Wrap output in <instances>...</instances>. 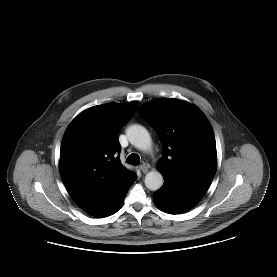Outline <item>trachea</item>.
Wrapping results in <instances>:
<instances>
[{"label":"trachea","mask_w":277,"mask_h":277,"mask_svg":"<svg viewBox=\"0 0 277 277\" xmlns=\"http://www.w3.org/2000/svg\"><path fill=\"white\" fill-rule=\"evenodd\" d=\"M126 162L128 164L137 166L140 163V157L138 154L132 153L127 157Z\"/></svg>","instance_id":"obj_1"}]
</instances>
